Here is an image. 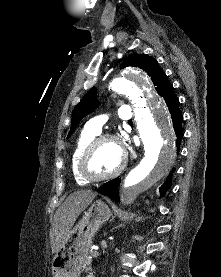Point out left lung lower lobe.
Instances as JSON below:
<instances>
[{
	"label": "left lung lower lobe",
	"mask_w": 221,
	"mask_h": 277,
	"mask_svg": "<svg viewBox=\"0 0 221 277\" xmlns=\"http://www.w3.org/2000/svg\"><path fill=\"white\" fill-rule=\"evenodd\" d=\"M163 98H164V100L169 108L170 114H171V118L173 121V127L175 130L176 136H177V151L179 152L181 138L183 137V129H182V125H181L182 120H183V115L179 110V99L175 95L174 88L172 85L166 90ZM173 171H174V169L171 171V173L169 174L165 183L160 188L161 196H163L165 194V192L171 186V178H172L171 175H172ZM119 183H120V179L116 178L112 181H109V182L103 184L101 187H99L97 189V191L99 193H101L102 195H108L113 200L119 201V198H118Z\"/></svg>",
	"instance_id": "1"
}]
</instances>
